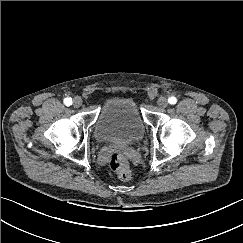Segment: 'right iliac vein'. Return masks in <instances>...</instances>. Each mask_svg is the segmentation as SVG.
I'll use <instances>...</instances> for the list:
<instances>
[{
	"instance_id": "1",
	"label": "right iliac vein",
	"mask_w": 243,
	"mask_h": 243,
	"mask_svg": "<svg viewBox=\"0 0 243 243\" xmlns=\"http://www.w3.org/2000/svg\"><path fill=\"white\" fill-rule=\"evenodd\" d=\"M82 105V99L80 98V97H75L74 99H73V106L75 107V108H78V107H80Z\"/></svg>"
}]
</instances>
